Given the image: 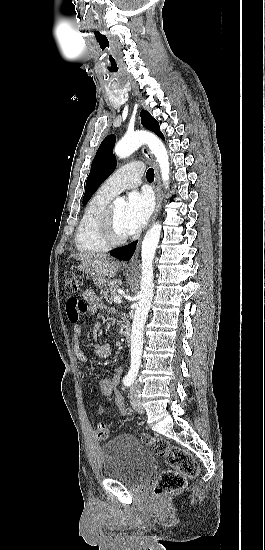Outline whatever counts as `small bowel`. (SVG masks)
Returning <instances> with one entry per match:
<instances>
[{
    "label": "small bowel",
    "mask_w": 265,
    "mask_h": 550,
    "mask_svg": "<svg viewBox=\"0 0 265 550\" xmlns=\"http://www.w3.org/2000/svg\"><path fill=\"white\" fill-rule=\"evenodd\" d=\"M82 298L83 300L81 301H83L84 303V309L81 311V313H84V312L93 313L102 307V303L100 302L99 298L97 297L95 292L91 289L86 290L83 293ZM72 300H70L68 304ZM68 304H67V313L70 316L76 311ZM97 331H98V324H95L92 328V333L94 338H96L97 336ZM81 333H82L81 326L79 324H75L72 331L73 352L78 361H80L81 363H88L89 358L83 352L79 343V338L81 336ZM93 354L97 358H108L112 354V348L108 343L95 342L93 345ZM121 371H122L121 367L116 368V370L110 375L109 378L100 380L97 384V387L100 390V392L108 399V401L114 404L118 408L120 415H124L125 414L124 399L121 393L117 390L118 384L120 382ZM98 412L99 414L104 413V410L101 406L98 407Z\"/></svg>",
    "instance_id": "small-bowel-1"
}]
</instances>
